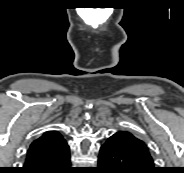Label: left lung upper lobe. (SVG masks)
Masks as SVG:
<instances>
[{"label": "left lung upper lobe", "mask_w": 184, "mask_h": 173, "mask_svg": "<svg viewBox=\"0 0 184 173\" xmlns=\"http://www.w3.org/2000/svg\"><path fill=\"white\" fill-rule=\"evenodd\" d=\"M123 133L125 135V147L132 153L138 162L149 170L157 171L158 168L154 166V161L147 145L132 133L128 131H123Z\"/></svg>", "instance_id": "1"}]
</instances>
